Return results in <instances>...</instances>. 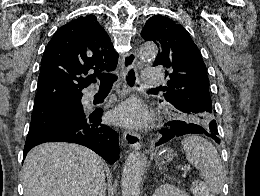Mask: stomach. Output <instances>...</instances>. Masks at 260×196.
Returning <instances> with one entry per match:
<instances>
[{"label": "stomach", "mask_w": 260, "mask_h": 196, "mask_svg": "<svg viewBox=\"0 0 260 196\" xmlns=\"http://www.w3.org/2000/svg\"><path fill=\"white\" fill-rule=\"evenodd\" d=\"M173 158H174L173 150H170V148H164L162 152H159L157 156V162H161V160H163V162H171Z\"/></svg>", "instance_id": "0dacf381"}]
</instances>
